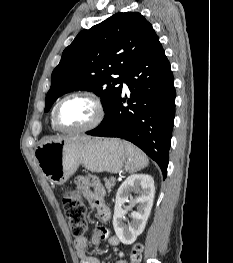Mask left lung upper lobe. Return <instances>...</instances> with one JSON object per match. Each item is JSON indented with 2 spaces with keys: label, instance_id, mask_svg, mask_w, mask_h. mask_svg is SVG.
Segmentation results:
<instances>
[{
  "label": "left lung upper lobe",
  "instance_id": "5c2ea615",
  "mask_svg": "<svg viewBox=\"0 0 233 263\" xmlns=\"http://www.w3.org/2000/svg\"><path fill=\"white\" fill-rule=\"evenodd\" d=\"M156 37L152 25L138 12L117 13L81 31L52 73L45 112L63 94L88 90L100 96L107 115L121 95L122 85L117 84ZM113 74L119 77L114 79Z\"/></svg>",
  "mask_w": 233,
  "mask_h": 263
}]
</instances>
